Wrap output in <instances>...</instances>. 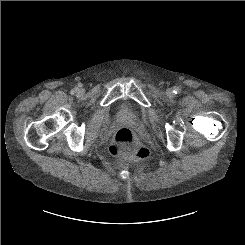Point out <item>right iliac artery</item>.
Returning <instances> with one entry per match:
<instances>
[{
	"instance_id": "right-iliac-artery-1",
	"label": "right iliac artery",
	"mask_w": 245,
	"mask_h": 245,
	"mask_svg": "<svg viewBox=\"0 0 245 245\" xmlns=\"http://www.w3.org/2000/svg\"><path fill=\"white\" fill-rule=\"evenodd\" d=\"M77 90V88H74L73 90H71V94H74Z\"/></svg>"
}]
</instances>
